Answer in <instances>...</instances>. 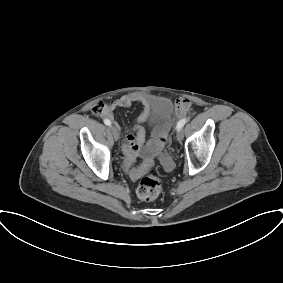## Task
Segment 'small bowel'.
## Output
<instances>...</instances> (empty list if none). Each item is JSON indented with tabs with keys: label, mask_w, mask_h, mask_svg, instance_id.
<instances>
[{
	"label": "small bowel",
	"mask_w": 283,
	"mask_h": 283,
	"mask_svg": "<svg viewBox=\"0 0 283 283\" xmlns=\"http://www.w3.org/2000/svg\"><path fill=\"white\" fill-rule=\"evenodd\" d=\"M137 102L143 104V111L137 118V123L133 128V132H125L122 138L125 151V158L122 163V168L132 179H137L143 174V168L133 166V163L138 154L146 153V133L143 124L146 122L149 116L151 99L146 94L134 92L113 101L107 105L103 111V116L114 120L113 112L115 109L119 107H131ZM189 109L190 103L188 100L179 99L176 102V116H184L187 114ZM116 127L120 129L118 124H116Z\"/></svg>",
	"instance_id": "1"
}]
</instances>
